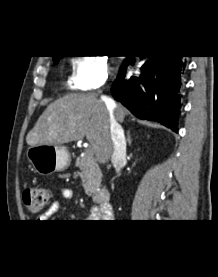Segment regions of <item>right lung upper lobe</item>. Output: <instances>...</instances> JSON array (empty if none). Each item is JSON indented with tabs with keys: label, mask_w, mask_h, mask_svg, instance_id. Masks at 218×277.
Listing matches in <instances>:
<instances>
[{
	"label": "right lung upper lobe",
	"mask_w": 218,
	"mask_h": 277,
	"mask_svg": "<svg viewBox=\"0 0 218 277\" xmlns=\"http://www.w3.org/2000/svg\"><path fill=\"white\" fill-rule=\"evenodd\" d=\"M59 57H61V56H54V58H53V59H57V58H59Z\"/></svg>",
	"instance_id": "right-lung-upper-lobe-1"
}]
</instances>
